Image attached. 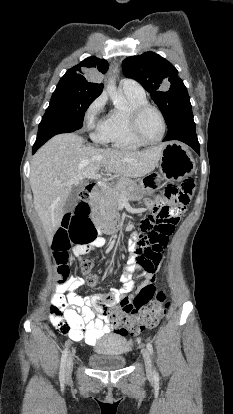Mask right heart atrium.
Instances as JSON below:
<instances>
[{
    "label": "right heart atrium",
    "mask_w": 233,
    "mask_h": 414,
    "mask_svg": "<svg viewBox=\"0 0 233 414\" xmlns=\"http://www.w3.org/2000/svg\"><path fill=\"white\" fill-rule=\"evenodd\" d=\"M106 106V97L100 95L87 108L85 112V124L93 133V137L97 141H103L102 122H98V118L103 114Z\"/></svg>",
    "instance_id": "right-heart-atrium-1"
}]
</instances>
